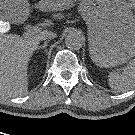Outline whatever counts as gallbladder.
Masks as SVG:
<instances>
[{
    "instance_id": "obj_1",
    "label": "gallbladder",
    "mask_w": 135,
    "mask_h": 135,
    "mask_svg": "<svg viewBox=\"0 0 135 135\" xmlns=\"http://www.w3.org/2000/svg\"><path fill=\"white\" fill-rule=\"evenodd\" d=\"M3 2V0H0V3H2ZM2 18H1V11H0V20H1Z\"/></svg>"
}]
</instances>
